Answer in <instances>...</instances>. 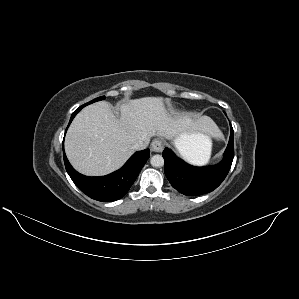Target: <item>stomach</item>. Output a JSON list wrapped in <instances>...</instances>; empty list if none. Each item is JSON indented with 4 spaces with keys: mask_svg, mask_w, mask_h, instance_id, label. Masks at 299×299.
I'll return each instance as SVG.
<instances>
[{
    "mask_svg": "<svg viewBox=\"0 0 299 299\" xmlns=\"http://www.w3.org/2000/svg\"><path fill=\"white\" fill-rule=\"evenodd\" d=\"M174 144L180 153L192 156L211 147L209 137L201 132H182L174 138Z\"/></svg>",
    "mask_w": 299,
    "mask_h": 299,
    "instance_id": "0dacf381",
    "label": "stomach"
}]
</instances>
